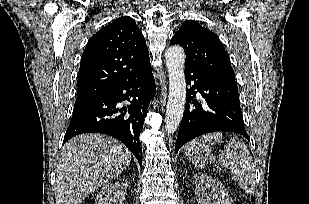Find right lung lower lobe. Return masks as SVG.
Listing matches in <instances>:
<instances>
[{
	"label": "right lung lower lobe",
	"mask_w": 309,
	"mask_h": 204,
	"mask_svg": "<svg viewBox=\"0 0 309 204\" xmlns=\"http://www.w3.org/2000/svg\"><path fill=\"white\" fill-rule=\"evenodd\" d=\"M155 89L150 68L123 84L76 100L73 117L63 143L82 133L107 134L123 142L141 164L142 147L139 135L149 102L155 95ZM124 100L131 102V105L125 109H119L117 104ZM127 111L128 114H126Z\"/></svg>",
	"instance_id": "obj_1"
}]
</instances>
